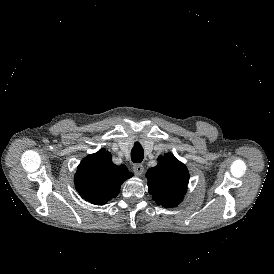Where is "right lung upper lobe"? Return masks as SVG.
<instances>
[{
  "label": "right lung upper lobe",
  "instance_id": "obj_1",
  "mask_svg": "<svg viewBox=\"0 0 274 274\" xmlns=\"http://www.w3.org/2000/svg\"><path fill=\"white\" fill-rule=\"evenodd\" d=\"M132 176L125 165L113 164L110 152L102 148L81 161L74 183L83 199L95 205H103L116 197L121 184Z\"/></svg>",
  "mask_w": 274,
  "mask_h": 274
}]
</instances>
